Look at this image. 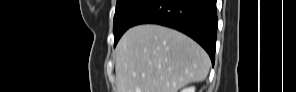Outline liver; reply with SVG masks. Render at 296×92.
<instances>
[{"label": "liver", "mask_w": 296, "mask_h": 92, "mask_svg": "<svg viewBox=\"0 0 296 92\" xmlns=\"http://www.w3.org/2000/svg\"><path fill=\"white\" fill-rule=\"evenodd\" d=\"M117 92H178L206 79L210 58L186 35L160 25L130 28L115 50Z\"/></svg>", "instance_id": "6515ba94"}]
</instances>
